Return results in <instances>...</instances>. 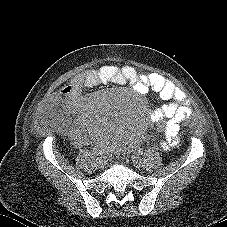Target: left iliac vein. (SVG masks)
Masks as SVG:
<instances>
[{"instance_id": "4c4485c4", "label": "left iliac vein", "mask_w": 227, "mask_h": 227, "mask_svg": "<svg viewBox=\"0 0 227 227\" xmlns=\"http://www.w3.org/2000/svg\"><path fill=\"white\" fill-rule=\"evenodd\" d=\"M132 163L135 167L140 168L142 166V159L140 157H133Z\"/></svg>"}]
</instances>
